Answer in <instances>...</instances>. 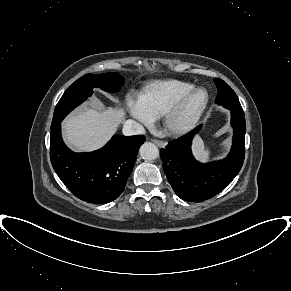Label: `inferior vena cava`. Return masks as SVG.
Instances as JSON below:
<instances>
[{
    "mask_svg": "<svg viewBox=\"0 0 291 291\" xmlns=\"http://www.w3.org/2000/svg\"><path fill=\"white\" fill-rule=\"evenodd\" d=\"M122 131H123V134L126 136L145 133L144 127L140 123L134 120H127L123 125Z\"/></svg>",
    "mask_w": 291,
    "mask_h": 291,
    "instance_id": "inferior-vena-cava-1",
    "label": "inferior vena cava"
}]
</instances>
